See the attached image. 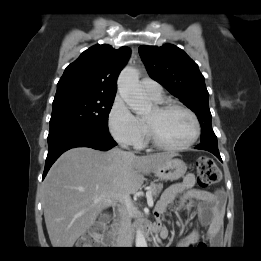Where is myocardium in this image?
I'll return each instance as SVG.
<instances>
[{
  "instance_id": "f54148a6",
  "label": "myocardium",
  "mask_w": 261,
  "mask_h": 261,
  "mask_svg": "<svg viewBox=\"0 0 261 261\" xmlns=\"http://www.w3.org/2000/svg\"><path fill=\"white\" fill-rule=\"evenodd\" d=\"M155 108L160 113H165L172 109H180V110L186 112L193 121L194 132H193L192 137L187 142H185L181 145H169V144L162 142L157 137L156 132H155L154 128L152 127V125L145 120L148 140L154 147L161 149V150H165V151H182V150L188 149L197 141V139L199 138L200 133H201V126H200V121L193 110H191L190 108H188L187 106H185L181 103L174 102V101L162 102V103L158 104Z\"/></svg>"
}]
</instances>
